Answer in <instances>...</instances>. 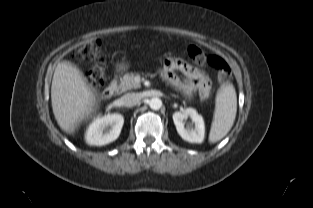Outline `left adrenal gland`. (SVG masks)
I'll return each mask as SVG.
<instances>
[{"label": "left adrenal gland", "mask_w": 313, "mask_h": 208, "mask_svg": "<svg viewBox=\"0 0 313 208\" xmlns=\"http://www.w3.org/2000/svg\"><path fill=\"white\" fill-rule=\"evenodd\" d=\"M171 96H172V97H174V98H177V96H176V95H174V94H172Z\"/></svg>", "instance_id": "1"}]
</instances>
